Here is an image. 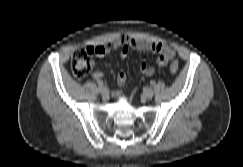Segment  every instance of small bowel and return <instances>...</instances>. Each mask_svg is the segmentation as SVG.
<instances>
[{"label": "small bowel", "mask_w": 243, "mask_h": 167, "mask_svg": "<svg viewBox=\"0 0 243 167\" xmlns=\"http://www.w3.org/2000/svg\"><path fill=\"white\" fill-rule=\"evenodd\" d=\"M129 49L133 50H148L159 54V58L156 61V65L160 68L165 67L175 56L176 51L170 45L164 42H145L133 37H121L114 44L100 45L93 48L94 54L98 57H103L109 53L119 50L120 58L126 59L128 56ZM140 73L145 76H152L155 71V67L146 62H142L139 67ZM104 74L100 71L92 73V78L101 81ZM127 76L124 71H120L117 74V83L123 86L126 83ZM116 97L119 96V92L116 91L114 94Z\"/></svg>", "instance_id": "1"}]
</instances>
